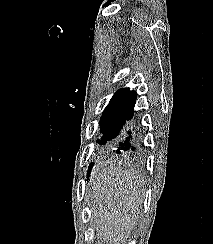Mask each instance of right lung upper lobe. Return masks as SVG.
I'll return each instance as SVG.
<instances>
[{"mask_svg": "<svg viewBox=\"0 0 213 244\" xmlns=\"http://www.w3.org/2000/svg\"><path fill=\"white\" fill-rule=\"evenodd\" d=\"M136 92L130 91L129 88H122L119 89L113 97H129V98H135L136 99Z\"/></svg>", "mask_w": 213, "mask_h": 244, "instance_id": "1", "label": "right lung upper lobe"}]
</instances>
